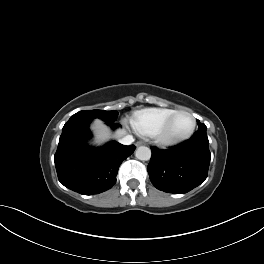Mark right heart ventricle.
<instances>
[{
    "instance_id": "1",
    "label": "right heart ventricle",
    "mask_w": 264,
    "mask_h": 264,
    "mask_svg": "<svg viewBox=\"0 0 264 264\" xmlns=\"http://www.w3.org/2000/svg\"><path fill=\"white\" fill-rule=\"evenodd\" d=\"M172 108H147L134 113L131 124L142 136H154L166 119L174 112Z\"/></svg>"
}]
</instances>
